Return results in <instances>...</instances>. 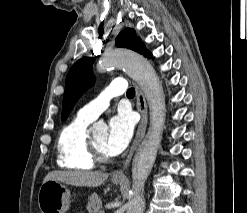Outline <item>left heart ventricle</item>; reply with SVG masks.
<instances>
[{
	"mask_svg": "<svg viewBox=\"0 0 247 213\" xmlns=\"http://www.w3.org/2000/svg\"><path fill=\"white\" fill-rule=\"evenodd\" d=\"M106 138H107V134L105 132L92 136V139H93L96 147L98 148V150L102 154H104L106 156H110L105 149Z\"/></svg>",
	"mask_w": 247,
	"mask_h": 213,
	"instance_id": "1",
	"label": "left heart ventricle"
}]
</instances>
